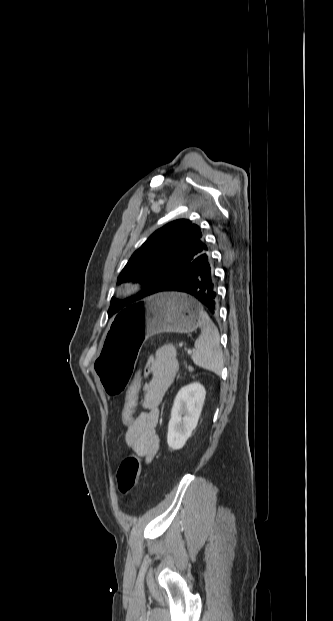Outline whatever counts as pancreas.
I'll return each instance as SVG.
<instances>
[{
	"label": "pancreas",
	"instance_id": "pancreas-1",
	"mask_svg": "<svg viewBox=\"0 0 333 621\" xmlns=\"http://www.w3.org/2000/svg\"><path fill=\"white\" fill-rule=\"evenodd\" d=\"M188 370H189V372H192L193 371V367L188 366Z\"/></svg>",
	"mask_w": 333,
	"mask_h": 621
}]
</instances>
